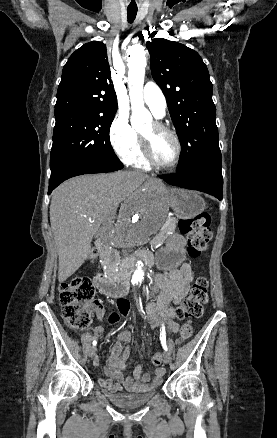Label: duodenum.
<instances>
[{
  "label": "duodenum",
  "instance_id": "410a0bca",
  "mask_svg": "<svg viewBox=\"0 0 277 438\" xmlns=\"http://www.w3.org/2000/svg\"><path fill=\"white\" fill-rule=\"evenodd\" d=\"M96 246L100 251L105 252L106 245L102 241H98ZM138 262H142L147 266H152L155 263V256L149 251H140L130 255L122 261L120 274H98L95 278L96 288L102 294L111 297L125 295L129 290V272Z\"/></svg>",
  "mask_w": 277,
  "mask_h": 438
}]
</instances>
